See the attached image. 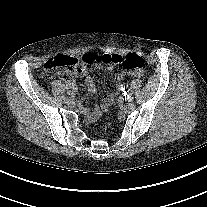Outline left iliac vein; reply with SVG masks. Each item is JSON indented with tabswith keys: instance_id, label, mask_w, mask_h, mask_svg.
<instances>
[{
	"instance_id": "4c4485c4",
	"label": "left iliac vein",
	"mask_w": 207,
	"mask_h": 207,
	"mask_svg": "<svg viewBox=\"0 0 207 207\" xmlns=\"http://www.w3.org/2000/svg\"><path fill=\"white\" fill-rule=\"evenodd\" d=\"M126 101H127L128 103H131V102L133 101V98H132V97H130V98H126Z\"/></svg>"
}]
</instances>
